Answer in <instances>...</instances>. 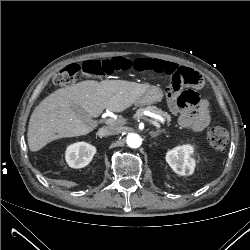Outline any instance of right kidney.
Returning <instances> with one entry per match:
<instances>
[{
	"mask_svg": "<svg viewBox=\"0 0 250 250\" xmlns=\"http://www.w3.org/2000/svg\"><path fill=\"white\" fill-rule=\"evenodd\" d=\"M95 153L94 146L86 142H78L68 146L65 159L70 167L83 168L91 162Z\"/></svg>",
	"mask_w": 250,
	"mask_h": 250,
	"instance_id": "right-kidney-1",
	"label": "right kidney"
}]
</instances>
